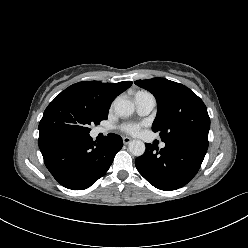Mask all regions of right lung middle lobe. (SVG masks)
Here are the masks:
<instances>
[{
    "label": "right lung middle lobe",
    "mask_w": 248,
    "mask_h": 248,
    "mask_svg": "<svg viewBox=\"0 0 248 248\" xmlns=\"http://www.w3.org/2000/svg\"><path fill=\"white\" fill-rule=\"evenodd\" d=\"M106 119L71 101L54 99L44 111L39 123V133L65 132L87 135L90 132L89 125L99 124Z\"/></svg>",
    "instance_id": "1"
}]
</instances>
